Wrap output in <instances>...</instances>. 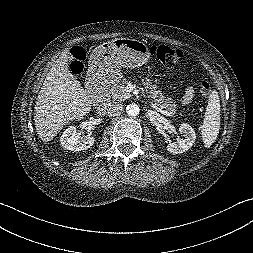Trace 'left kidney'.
<instances>
[{"label": "left kidney", "instance_id": "obj_1", "mask_svg": "<svg viewBox=\"0 0 253 253\" xmlns=\"http://www.w3.org/2000/svg\"><path fill=\"white\" fill-rule=\"evenodd\" d=\"M180 133H183L185 139H178L177 142H170L167 145V150L173 154H181L189 150L195 142V131L187 123H182L179 127Z\"/></svg>", "mask_w": 253, "mask_h": 253}]
</instances>
